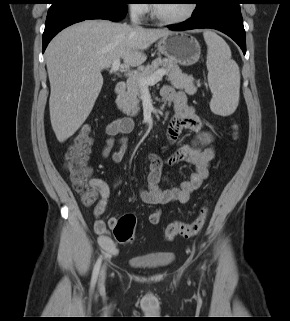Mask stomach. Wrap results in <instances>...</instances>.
Returning a JSON list of instances; mask_svg holds the SVG:
<instances>
[{"mask_svg":"<svg viewBox=\"0 0 290 321\" xmlns=\"http://www.w3.org/2000/svg\"><path fill=\"white\" fill-rule=\"evenodd\" d=\"M158 51L182 66L195 64L201 54L199 42L188 32H170L157 43Z\"/></svg>","mask_w":290,"mask_h":321,"instance_id":"stomach-1","label":"stomach"}]
</instances>
